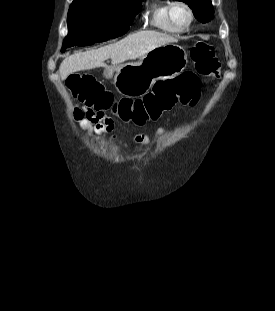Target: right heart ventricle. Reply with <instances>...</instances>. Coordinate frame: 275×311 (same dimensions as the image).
Returning <instances> with one entry per match:
<instances>
[{
	"label": "right heart ventricle",
	"instance_id": "1",
	"mask_svg": "<svg viewBox=\"0 0 275 311\" xmlns=\"http://www.w3.org/2000/svg\"><path fill=\"white\" fill-rule=\"evenodd\" d=\"M170 2L168 0H154L147 13V21L158 31L166 33H178L168 22L167 8Z\"/></svg>",
	"mask_w": 275,
	"mask_h": 311
}]
</instances>
